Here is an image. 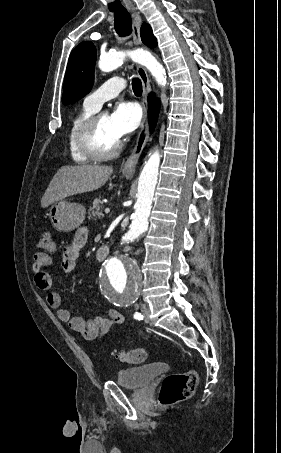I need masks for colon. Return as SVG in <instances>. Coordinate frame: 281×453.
<instances>
[{
    "mask_svg": "<svg viewBox=\"0 0 281 453\" xmlns=\"http://www.w3.org/2000/svg\"><path fill=\"white\" fill-rule=\"evenodd\" d=\"M54 230L46 229L37 242V250H49L54 253ZM151 350L120 349L115 350V358L121 362L144 363L153 356ZM196 378L194 368H187L184 372L167 375L161 387L160 402L162 406L169 407L177 402H182L190 397L192 384Z\"/></svg>",
    "mask_w": 281,
    "mask_h": 453,
    "instance_id": "5ec220e1",
    "label": "colon"
}]
</instances>
